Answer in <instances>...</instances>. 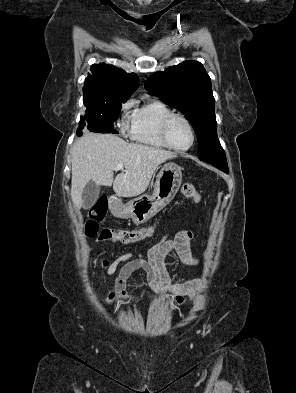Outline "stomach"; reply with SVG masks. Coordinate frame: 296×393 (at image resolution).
Listing matches in <instances>:
<instances>
[{
    "instance_id": "obj_1",
    "label": "stomach",
    "mask_w": 296,
    "mask_h": 393,
    "mask_svg": "<svg viewBox=\"0 0 296 393\" xmlns=\"http://www.w3.org/2000/svg\"><path fill=\"white\" fill-rule=\"evenodd\" d=\"M181 183V167L172 162L166 163L157 175L152 195H142L126 204L118 200L112 212L118 218H130L135 224H143L169 204Z\"/></svg>"
}]
</instances>
